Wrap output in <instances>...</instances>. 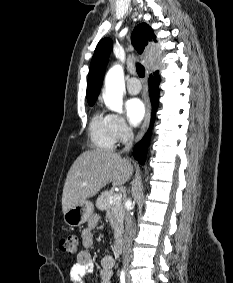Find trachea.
I'll list each match as a JSON object with an SVG mask.
<instances>
[{
  "instance_id": "3493384b",
  "label": "trachea",
  "mask_w": 233,
  "mask_h": 283,
  "mask_svg": "<svg viewBox=\"0 0 233 283\" xmlns=\"http://www.w3.org/2000/svg\"><path fill=\"white\" fill-rule=\"evenodd\" d=\"M136 71L139 77L143 78L145 76V69L141 64L137 63Z\"/></svg>"
}]
</instances>
